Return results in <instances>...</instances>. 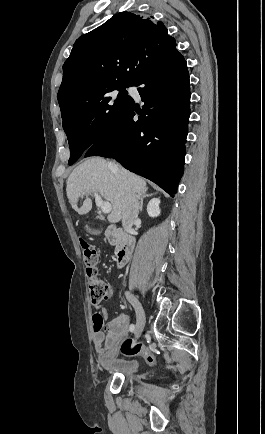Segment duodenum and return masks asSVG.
<instances>
[{
    "mask_svg": "<svg viewBox=\"0 0 265 434\" xmlns=\"http://www.w3.org/2000/svg\"><path fill=\"white\" fill-rule=\"evenodd\" d=\"M90 224H93V221H90ZM91 229L94 228L91 226ZM129 230L133 229L123 230L113 225L106 227L104 230L110 244H120L115 254V264L118 268H121L134 252L132 248L133 243L128 237Z\"/></svg>",
    "mask_w": 265,
    "mask_h": 434,
    "instance_id": "duodenum-1",
    "label": "duodenum"
}]
</instances>
